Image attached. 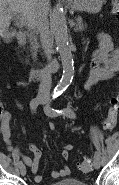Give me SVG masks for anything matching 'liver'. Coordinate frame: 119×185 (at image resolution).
Instances as JSON below:
<instances>
[{
    "mask_svg": "<svg viewBox=\"0 0 119 185\" xmlns=\"http://www.w3.org/2000/svg\"><path fill=\"white\" fill-rule=\"evenodd\" d=\"M41 0H0V33L7 30L12 14H21L22 20L29 28H35L37 12ZM49 0L45 5L48 13Z\"/></svg>",
    "mask_w": 119,
    "mask_h": 185,
    "instance_id": "obj_1",
    "label": "liver"
}]
</instances>
